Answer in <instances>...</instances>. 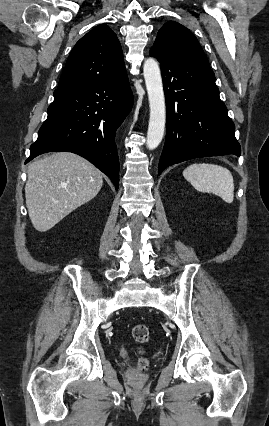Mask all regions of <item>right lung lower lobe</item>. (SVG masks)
I'll return each mask as SVG.
<instances>
[{
  "label": "right lung lower lobe",
  "instance_id": "obj_1",
  "mask_svg": "<svg viewBox=\"0 0 269 426\" xmlns=\"http://www.w3.org/2000/svg\"><path fill=\"white\" fill-rule=\"evenodd\" d=\"M132 105L126 72L108 81L56 93L26 163L46 152L76 153L105 173L118 190L115 135Z\"/></svg>",
  "mask_w": 269,
  "mask_h": 426
}]
</instances>
